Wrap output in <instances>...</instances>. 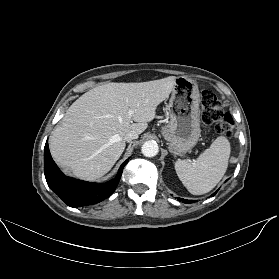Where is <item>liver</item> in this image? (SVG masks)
Returning <instances> with one entry per match:
<instances>
[{
  "label": "liver",
  "mask_w": 279,
  "mask_h": 279,
  "mask_svg": "<svg viewBox=\"0 0 279 279\" xmlns=\"http://www.w3.org/2000/svg\"><path fill=\"white\" fill-rule=\"evenodd\" d=\"M175 80L169 76L141 83H107L86 92L53 131L49 142L52 157L77 178L99 179L122 155L125 135L146 130Z\"/></svg>",
  "instance_id": "obj_1"
}]
</instances>
